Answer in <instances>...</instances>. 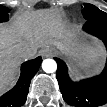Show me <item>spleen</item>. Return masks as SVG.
<instances>
[{
  "label": "spleen",
  "instance_id": "1",
  "mask_svg": "<svg viewBox=\"0 0 107 107\" xmlns=\"http://www.w3.org/2000/svg\"><path fill=\"white\" fill-rule=\"evenodd\" d=\"M98 62H100V61H98ZM82 67H83V68H88V65H87V64H84V65H82Z\"/></svg>",
  "mask_w": 107,
  "mask_h": 107
}]
</instances>
